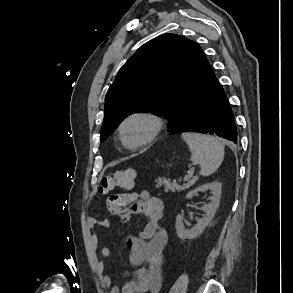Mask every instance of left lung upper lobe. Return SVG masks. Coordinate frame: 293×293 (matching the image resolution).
<instances>
[{
    "label": "left lung upper lobe",
    "mask_w": 293,
    "mask_h": 293,
    "mask_svg": "<svg viewBox=\"0 0 293 293\" xmlns=\"http://www.w3.org/2000/svg\"><path fill=\"white\" fill-rule=\"evenodd\" d=\"M212 70L200 46L185 37L163 34L140 47L121 67L105 97L104 141L129 115L153 111L180 122L186 104L209 82Z\"/></svg>",
    "instance_id": "left-lung-upper-lobe-1"
}]
</instances>
